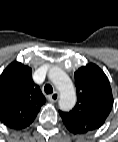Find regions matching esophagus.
Instances as JSON below:
<instances>
[{
	"label": "esophagus",
	"instance_id": "1",
	"mask_svg": "<svg viewBox=\"0 0 118 142\" xmlns=\"http://www.w3.org/2000/svg\"><path fill=\"white\" fill-rule=\"evenodd\" d=\"M59 99V93L58 92H54L51 95H49V100L52 102H57Z\"/></svg>",
	"mask_w": 118,
	"mask_h": 142
}]
</instances>
